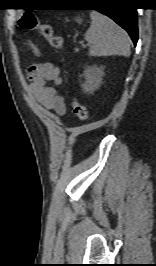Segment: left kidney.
<instances>
[{"instance_id": "obj_1", "label": "left kidney", "mask_w": 156, "mask_h": 266, "mask_svg": "<svg viewBox=\"0 0 156 266\" xmlns=\"http://www.w3.org/2000/svg\"><path fill=\"white\" fill-rule=\"evenodd\" d=\"M85 83L82 85L84 92L93 93L99 88L102 82V72L99 67L92 66L85 69L84 74Z\"/></svg>"}]
</instances>
